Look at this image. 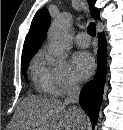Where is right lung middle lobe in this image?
I'll use <instances>...</instances> for the list:
<instances>
[{
  "instance_id": "obj_1",
  "label": "right lung middle lobe",
  "mask_w": 123,
  "mask_h": 130,
  "mask_svg": "<svg viewBox=\"0 0 123 130\" xmlns=\"http://www.w3.org/2000/svg\"><path fill=\"white\" fill-rule=\"evenodd\" d=\"M34 56V54H31V55H26V56H22V64H21V67H22V72L24 73L26 68L28 67V64L31 60V58Z\"/></svg>"
}]
</instances>
